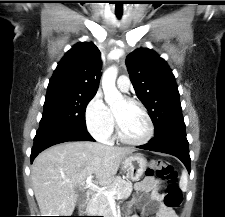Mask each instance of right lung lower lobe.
I'll return each mask as SVG.
<instances>
[{"label": "right lung lower lobe", "mask_w": 225, "mask_h": 217, "mask_svg": "<svg viewBox=\"0 0 225 217\" xmlns=\"http://www.w3.org/2000/svg\"><path fill=\"white\" fill-rule=\"evenodd\" d=\"M67 141H94L86 130L71 128L53 123H40L34 138L31 162L44 149Z\"/></svg>", "instance_id": "98d812e1"}]
</instances>
